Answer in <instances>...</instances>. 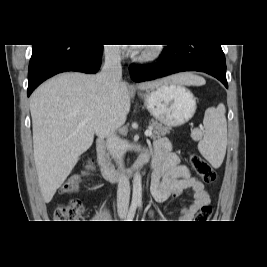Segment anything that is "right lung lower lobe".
I'll return each mask as SVG.
<instances>
[{"label":"right lung lower lobe","mask_w":267,"mask_h":267,"mask_svg":"<svg viewBox=\"0 0 267 267\" xmlns=\"http://www.w3.org/2000/svg\"><path fill=\"white\" fill-rule=\"evenodd\" d=\"M103 45H32L27 96L43 81L66 71L96 73L101 66Z\"/></svg>","instance_id":"obj_1"}]
</instances>
